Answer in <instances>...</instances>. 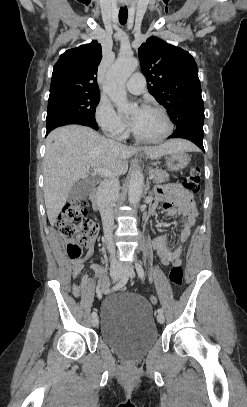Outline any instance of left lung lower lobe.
I'll return each mask as SVG.
<instances>
[{"label":"left lung lower lobe","instance_id":"0a47b994","mask_svg":"<svg viewBox=\"0 0 247 407\" xmlns=\"http://www.w3.org/2000/svg\"><path fill=\"white\" fill-rule=\"evenodd\" d=\"M203 122L202 118H191L176 126L175 132L169 138H184L195 143L203 152Z\"/></svg>","mask_w":247,"mask_h":407}]
</instances>
